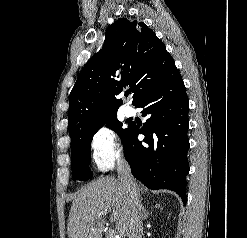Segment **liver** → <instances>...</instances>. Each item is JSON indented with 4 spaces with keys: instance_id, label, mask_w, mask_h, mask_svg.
<instances>
[{
    "instance_id": "1",
    "label": "liver",
    "mask_w": 247,
    "mask_h": 238,
    "mask_svg": "<svg viewBox=\"0 0 247 238\" xmlns=\"http://www.w3.org/2000/svg\"><path fill=\"white\" fill-rule=\"evenodd\" d=\"M138 194L143 193L136 183ZM130 201L122 183L115 177H102L82 187L71 206L67 233L69 238H102L105 215L112 211L110 220L123 237L127 236Z\"/></svg>"
}]
</instances>
